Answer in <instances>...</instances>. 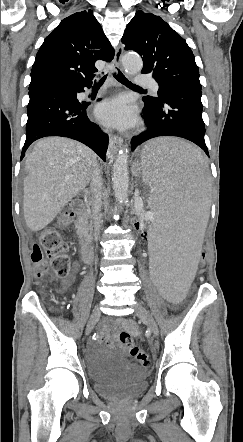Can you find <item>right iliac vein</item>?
<instances>
[{"label":"right iliac vein","mask_w":243,"mask_h":442,"mask_svg":"<svg viewBox=\"0 0 243 442\" xmlns=\"http://www.w3.org/2000/svg\"><path fill=\"white\" fill-rule=\"evenodd\" d=\"M100 315H101L100 307H99V306H96V307L93 309L92 315H91V317H90V320H89L88 325H87V328H86V334H87V335L92 331V329H93L95 323H96V322L98 321V319L100 318Z\"/></svg>","instance_id":"1"}]
</instances>
